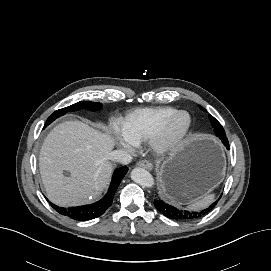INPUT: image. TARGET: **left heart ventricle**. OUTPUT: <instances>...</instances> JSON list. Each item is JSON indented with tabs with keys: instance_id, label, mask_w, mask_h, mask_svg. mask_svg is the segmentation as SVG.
Here are the masks:
<instances>
[{
	"instance_id": "obj_1",
	"label": "left heart ventricle",
	"mask_w": 271,
	"mask_h": 271,
	"mask_svg": "<svg viewBox=\"0 0 271 271\" xmlns=\"http://www.w3.org/2000/svg\"><path fill=\"white\" fill-rule=\"evenodd\" d=\"M186 124H187L186 116L179 117L174 127L175 132L182 131L186 127Z\"/></svg>"
}]
</instances>
